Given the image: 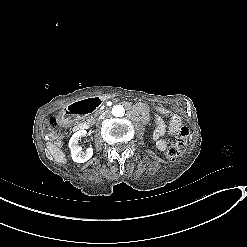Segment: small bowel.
<instances>
[{"mask_svg": "<svg viewBox=\"0 0 247 247\" xmlns=\"http://www.w3.org/2000/svg\"><path fill=\"white\" fill-rule=\"evenodd\" d=\"M182 127V122L181 119L178 115L173 114L171 116V121L169 124V133L170 134H177ZM155 140H156V146L159 150H165L167 147V142L166 140L162 137V134L158 133L155 135Z\"/></svg>", "mask_w": 247, "mask_h": 247, "instance_id": "c3829d8e", "label": "small bowel"}]
</instances>
